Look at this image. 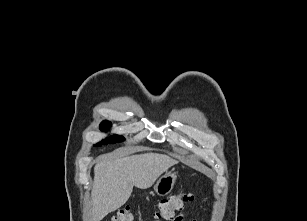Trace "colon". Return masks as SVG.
Here are the masks:
<instances>
[{"label":"colon","instance_id":"obj_1","mask_svg":"<svg viewBox=\"0 0 307 221\" xmlns=\"http://www.w3.org/2000/svg\"><path fill=\"white\" fill-rule=\"evenodd\" d=\"M194 200L192 193L180 191L168 199L161 200L157 203L155 216L159 219H172L176 212L183 209L184 205ZM134 213L129 207L119 210L110 221H133Z\"/></svg>","mask_w":307,"mask_h":221}]
</instances>
